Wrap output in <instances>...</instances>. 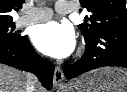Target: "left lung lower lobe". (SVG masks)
I'll use <instances>...</instances> for the list:
<instances>
[{
	"mask_svg": "<svg viewBox=\"0 0 127 92\" xmlns=\"http://www.w3.org/2000/svg\"><path fill=\"white\" fill-rule=\"evenodd\" d=\"M85 41L81 59L64 67L67 79L104 66L127 68V31L102 30Z\"/></svg>",
	"mask_w": 127,
	"mask_h": 92,
	"instance_id": "1",
	"label": "left lung lower lobe"
}]
</instances>
